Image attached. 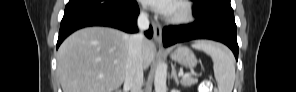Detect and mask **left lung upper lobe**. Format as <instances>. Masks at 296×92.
Returning <instances> with one entry per match:
<instances>
[{
	"instance_id": "obj_1",
	"label": "left lung upper lobe",
	"mask_w": 296,
	"mask_h": 92,
	"mask_svg": "<svg viewBox=\"0 0 296 92\" xmlns=\"http://www.w3.org/2000/svg\"><path fill=\"white\" fill-rule=\"evenodd\" d=\"M200 16L207 18L209 13L218 8L232 9L230 0H192Z\"/></svg>"
}]
</instances>
